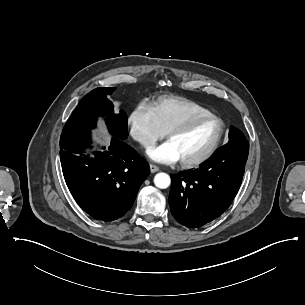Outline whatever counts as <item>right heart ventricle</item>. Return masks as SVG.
<instances>
[{"mask_svg":"<svg viewBox=\"0 0 305 305\" xmlns=\"http://www.w3.org/2000/svg\"><path fill=\"white\" fill-rule=\"evenodd\" d=\"M151 107L163 131L186 118L209 112L205 107L177 96L160 97L151 103Z\"/></svg>","mask_w":305,"mask_h":305,"instance_id":"1","label":"right heart ventricle"}]
</instances>
